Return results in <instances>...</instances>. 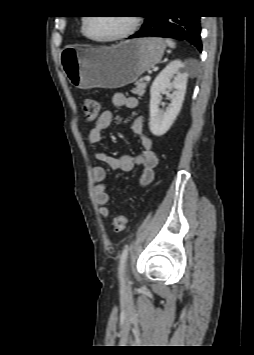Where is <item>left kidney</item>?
<instances>
[{"mask_svg":"<svg viewBox=\"0 0 254 355\" xmlns=\"http://www.w3.org/2000/svg\"><path fill=\"white\" fill-rule=\"evenodd\" d=\"M185 65L181 60L171 61L155 78L150 89V122L149 128L155 136L164 135L172 126L181 110L188 74L184 72ZM173 79V81H172ZM174 89L169 97L171 101L166 111L159 109L161 93Z\"/></svg>","mask_w":254,"mask_h":355,"instance_id":"left-kidney-1","label":"left kidney"}]
</instances>
